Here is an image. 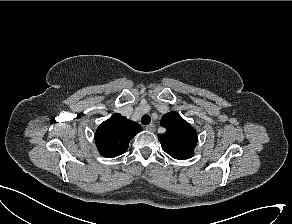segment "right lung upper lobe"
Returning a JSON list of instances; mask_svg holds the SVG:
<instances>
[{
	"mask_svg": "<svg viewBox=\"0 0 292 224\" xmlns=\"http://www.w3.org/2000/svg\"><path fill=\"white\" fill-rule=\"evenodd\" d=\"M141 130L138 123L115 113L97 128L95 133L97 149L104 157H117L126 152L131 139Z\"/></svg>",
	"mask_w": 292,
	"mask_h": 224,
	"instance_id": "right-lung-upper-lobe-1",
	"label": "right lung upper lobe"
}]
</instances>
